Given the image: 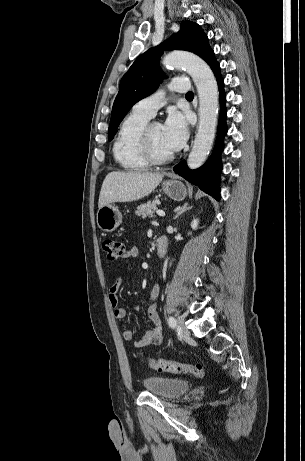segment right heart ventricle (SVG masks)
<instances>
[{
	"mask_svg": "<svg viewBox=\"0 0 305 461\" xmlns=\"http://www.w3.org/2000/svg\"><path fill=\"white\" fill-rule=\"evenodd\" d=\"M150 118L134 110L123 120L113 144L116 162L127 171H140L149 166L140 149V136Z\"/></svg>",
	"mask_w": 305,
	"mask_h": 461,
	"instance_id": "e07e8e85",
	"label": "right heart ventricle"
}]
</instances>
